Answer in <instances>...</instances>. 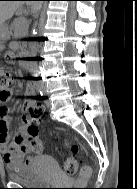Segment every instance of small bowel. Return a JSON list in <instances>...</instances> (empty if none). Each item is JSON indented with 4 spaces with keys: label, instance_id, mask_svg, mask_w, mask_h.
I'll return each mask as SVG.
<instances>
[{
    "label": "small bowel",
    "instance_id": "small-bowel-1",
    "mask_svg": "<svg viewBox=\"0 0 137 189\" xmlns=\"http://www.w3.org/2000/svg\"><path fill=\"white\" fill-rule=\"evenodd\" d=\"M26 94L32 96L34 87L28 84ZM7 99H0V104L5 103ZM33 100H28L26 106L33 104ZM10 110L0 105V149L2 151L3 161L9 170H17L31 164L32 157L28 154L30 149L24 145V133L31 121L24 114L22 116L23 125L13 136L9 133Z\"/></svg>",
    "mask_w": 137,
    "mask_h": 189
}]
</instances>
